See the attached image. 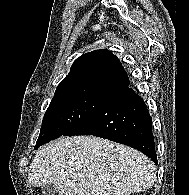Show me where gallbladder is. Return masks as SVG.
Returning a JSON list of instances; mask_svg holds the SVG:
<instances>
[{
	"label": "gallbladder",
	"instance_id": "gallbladder-1",
	"mask_svg": "<svg viewBox=\"0 0 189 195\" xmlns=\"http://www.w3.org/2000/svg\"><path fill=\"white\" fill-rule=\"evenodd\" d=\"M44 195H55L57 192V188L53 184L45 185L41 188Z\"/></svg>",
	"mask_w": 189,
	"mask_h": 195
}]
</instances>
